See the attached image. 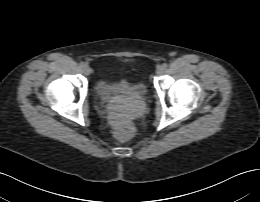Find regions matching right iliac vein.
<instances>
[{
  "label": "right iliac vein",
  "mask_w": 260,
  "mask_h": 202,
  "mask_svg": "<svg viewBox=\"0 0 260 202\" xmlns=\"http://www.w3.org/2000/svg\"><path fill=\"white\" fill-rule=\"evenodd\" d=\"M83 71H84L85 75H90V73H91V69L88 66H84Z\"/></svg>",
  "instance_id": "63e3f726"
}]
</instances>
